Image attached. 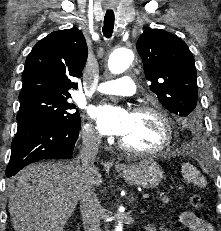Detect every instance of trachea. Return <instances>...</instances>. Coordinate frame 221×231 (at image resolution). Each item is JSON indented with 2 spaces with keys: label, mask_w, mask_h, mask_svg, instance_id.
<instances>
[{
  "label": "trachea",
  "mask_w": 221,
  "mask_h": 231,
  "mask_svg": "<svg viewBox=\"0 0 221 231\" xmlns=\"http://www.w3.org/2000/svg\"><path fill=\"white\" fill-rule=\"evenodd\" d=\"M115 16L113 11H107L104 17L103 34L106 38H110L114 29Z\"/></svg>",
  "instance_id": "obj_1"
}]
</instances>
